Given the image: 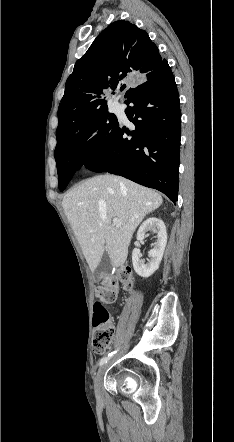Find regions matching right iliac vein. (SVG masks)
<instances>
[{"label": "right iliac vein", "mask_w": 234, "mask_h": 442, "mask_svg": "<svg viewBox=\"0 0 234 442\" xmlns=\"http://www.w3.org/2000/svg\"><path fill=\"white\" fill-rule=\"evenodd\" d=\"M107 369V364H104L99 370L94 380V389L95 394L97 397H101L102 395V383H103V376L105 374V371Z\"/></svg>", "instance_id": "obj_1"}]
</instances>
